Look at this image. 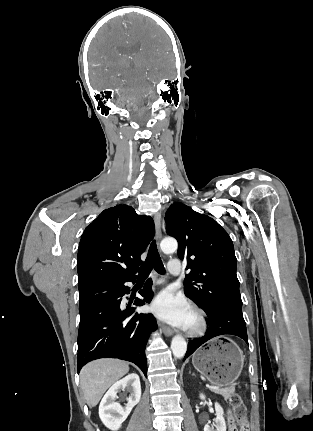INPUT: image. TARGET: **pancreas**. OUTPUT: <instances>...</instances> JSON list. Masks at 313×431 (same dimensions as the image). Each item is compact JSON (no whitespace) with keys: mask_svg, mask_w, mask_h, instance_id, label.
<instances>
[{"mask_svg":"<svg viewBox=\"0 0 313 431\" xmlns=\"http://www.w3.org/2000/svg\"><path fill=\"white\" fill-rule=\"evenodd\" d=\"M214 393L216 394H220L224 397L225 400L230 399L234 393H235V387L234 386H230L227 388H215V389H211Z\"/></svg>","mask_w":313,"mask_h":431,"instance_id":"1","label":"pancreas"}]
</instances>
